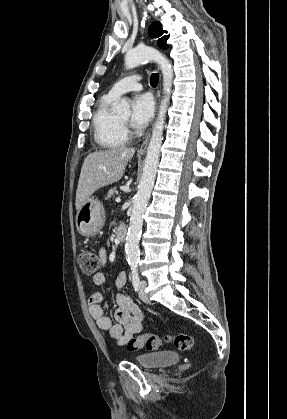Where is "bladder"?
<instances>
[{
  "label": "bladder",
  "instance_id": "bladder-1",
  "mask_svg": "<svg viewBox=\"0 0 287 419\" xmlns=\"http://www.w3.org/2000/svg\"><path fill=\"white\" fill-rule=\"evenodd\" d=\"M179 357L170 351L152 352L136 358L137 364L146 369H157L176 364Z\"/></svg>",
  "mask_w": 287,
  "mask_h": 419
}]
</instances>
